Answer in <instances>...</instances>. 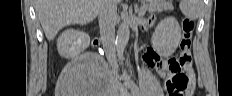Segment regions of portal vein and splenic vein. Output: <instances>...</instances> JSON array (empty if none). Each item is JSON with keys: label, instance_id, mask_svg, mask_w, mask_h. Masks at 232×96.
<instances>
[{"label": "portal vein and splenic vein", "instance_id": "portal-vein-and-splenic-vein-1", "mask_svg": "<svg viewBox=\"0 0 232 96\" xmlns=\"http://www.w3.org/2000/svg\"><path fill=\"white\" fill-rule=\"evenodd\" d=\"M145 11H146V7H143V8L141 9V11L139 12V14H140V15H143V14L145 13Z\"/></svg>", "mask_w": 232, "mask_h": 96}]
</instances>
